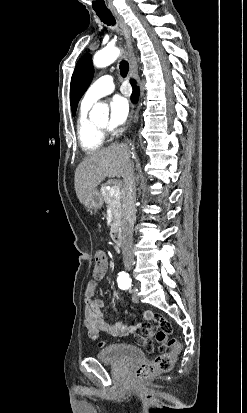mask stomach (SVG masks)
<instances>
[{"instance_id": "1", "label": "stomach", "mask_w": 247, "mask_h": 413, "mask_svg": "<svg viewBox=\"0 0 247 413\" xmlns=\"http://www.w3.org/2000/svg\"><path fill=\"white\" fill-rule=\"evenodd\" d=\"M103 202V196H101L99 190H92L89 196L85 198L83 204L85 209L90 211V209H101Z\"/></svg>"}]
</instances>
